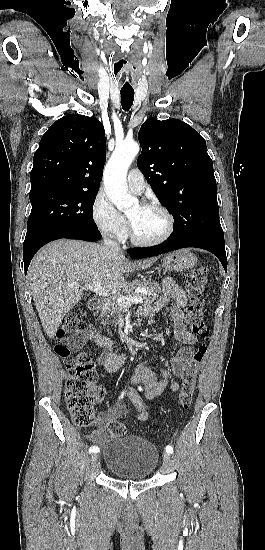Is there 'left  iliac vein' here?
I'll list each match as a JSON object with an SVG mask.
<instances>
[{
	"mask_svg": "<svg viewBox=\"0 0 265 550\" xmlns=\"http://www.w3.org/2000/svg\"><path fill=\"white\" fill-rule=\"evenodd\" d=\"M171 463V456L169 453L165 452L163 454V466L168 467Z\"/></svg>",
	"mask_w": 265,
	"mask_h": 550,
	"instance_id": "4c4485c4",
	"label": "left iliac vein"
}]
</instances>
